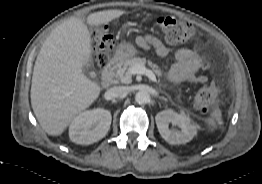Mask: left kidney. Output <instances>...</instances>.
Returning a JSON list of instances; mask_svg holds the SVG:
<instances>
[{"mask_svg":"<svg viewBox=\"0 0 262 184\" xmlns=\"http://www.w3.org/2000/svg\"><path fill=\"white\" fill-rule=\"evenodd\" d=\"M156 125L162 138L169 144H185L193 139L197 134V127L191 119L184 115L178 114L173 110H164L159 112L156 117ZM177 125L179 130L169 128V124Z\"/></svg>","mask_w":262,"mask_h":184,"instance_id":"left-kidney-1","label":"left kidney"}]
</instances>
